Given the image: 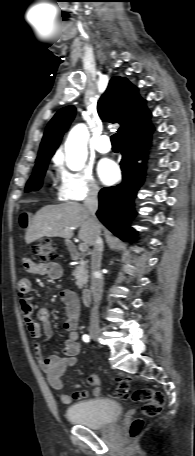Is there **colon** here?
<instances>
[{"instance_id": "5ec220e1", "label": "colon", "mask_w": 195, "mask_h": 456, "mask_svg": "<svg viewBox=\"0 0 195 456\" xmlns=\"http://www.w3.org/2000/svg\"><path fill=\"white\" fill-rule=\"evenodd\" d=\"M56 243L51 239H44L41 242L32 246L33 252L41 258L44 262H54L57 259ZM130 381L127 378L121 377L116 381L113 395L121 398H129ZM131 398L135 402L143 404L142 412L145 417L157 416L165 403V395L158 390L151 388H142L136 390ZM144 425L142 418H136L132 421L129 427V434L131 437L137 436Z\"/></svg>"}]
</instances>
